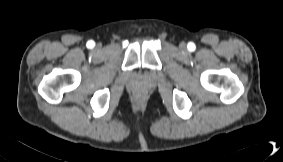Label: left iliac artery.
Here are the masks:
<instances>
[{
    "label": "left iliac artery",
    "instance_id": "left-iliac-artery-1",
    "mask_svg": "<svg viewBox=\"0 0 283 162\" xmlns=\"http://www.w3.org/2000/svg\"><path fill=\"white\" fill-rule=\"evenodd\" d=\"M188 49L190 50V51H193L194 49H195V45H194V43H192V42H190V43H188Z\"/></svg>",
    "mask_w": 283,
    "mask_h": 162
}]
</instances>
